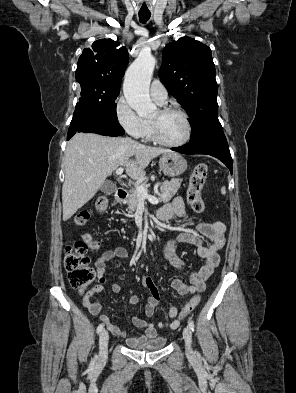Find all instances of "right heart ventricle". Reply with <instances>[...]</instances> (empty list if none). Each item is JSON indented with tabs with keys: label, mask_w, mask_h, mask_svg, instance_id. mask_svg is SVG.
Instances as JSON below:
<instances>
[{
	"label": "right heart ventricle",
	"mask_w": 296,
	"mask_h": 393,
	"mask_svg": "<svg viewBox=\"0 0 296 393\" xmlns=\"http://www.w3.org/2000/svg\"><path fill=\"white\" fill-rule=\"evenodd\" d=\"M147 125H148V130H147V134H146V139L151 140L152 139V131H151V124L149 121H146Z\"/></svg>",
	"instance_id": "1"
}]
</instances>
